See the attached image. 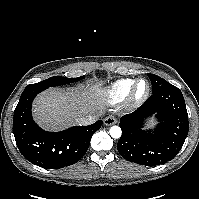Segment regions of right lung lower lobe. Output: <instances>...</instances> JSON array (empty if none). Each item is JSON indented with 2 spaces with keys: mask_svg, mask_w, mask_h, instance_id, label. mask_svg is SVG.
Segmentation results:
<instances>
[{
  "mask_svg": "<svg viewBox=\"0 0 199 199\" xmlns=\"http://www.w3.org/2000/svg\"><path fill=\"white\" fill-rule=\"evenodd\" d=\"M38 90L25 89L14 111L13 133L22 155L31 163L58 169L78 162L86 153L92 135L102 121L89 126H75L62 132H46L32 119L31 105Z\"/></svg>",
  "mask_w": 199,
  "mask_h": 199,
  "instance_id": "98d812e1",
  "label": "right lung lower lobe"
}]
</instances>
